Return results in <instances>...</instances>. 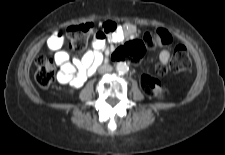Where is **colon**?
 <instances>
[{"label":"colon","mask_w":225,"mask_h":155,"mask_svg":"<svg viewBox=\"0 0 225 155\" xmlns=\"http://www.w3.org/2000/svg\"><path fill=\"white\" fill-rule=\"evenodd\" d=\"M94 27L92 23L85 22L77 25H72L66 29L70 47L81 52L86 49L88 39L93 33ZM173 41L172 35L163 28L151 29L145 32L143 41L132 40L125 43L119 49H115L111 53V58L115 62L142 60L145 51L148 48L157 46H166ZM191 66V59L185 46L177 45L173 51L172 58L168 68L159 67V74H166L168 71L182 72ZM56 69L53 61L45 56H39L35 62V80L42 88L50 87L56 80ZM143 89L151 97L164 99L168 90L163 87L160 82L149 76L142 77Z\"/></svg>","instance_id":"1"}]
</instances>
